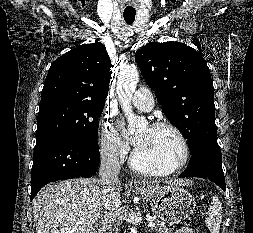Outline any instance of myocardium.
<instances>
[{
  "label": "myocardium",
  "instance_id": "f54148a6",
  "mask_svg": "<svg viewBox=\"0 0 253 233\" xmlns=\"http://www.w3.org/2000/svg\"><path fill=\"white\" fill-rule=\"evenodd\" d=\"M150 128L154 130H161V129L168 130V131H171L177 137L182 148V156H181L180 162L177 163L174 167L167 170H155V169H152L140 164L137 159L136 149H134L130 158L131 166L136 171L142 174L149 175V176H158V177L169 176L183 169L187 165L190 158L189 143L185 135L183 134V132L174 124L169 123V122H162V121L153 123L150 126Z\"/></svg>",
  "mask_w": 253,
  "mask_h": 233
}]
</instances>
